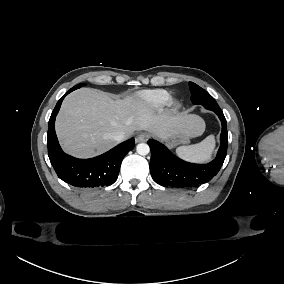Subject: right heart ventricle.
Instances as JSON below:
<instances>
[{
    "label": "right heart ventricle",
    "instance_id": "obj_1",
    "mask_svg": "<svg viewBox=\"0 0 284 284\" xmlns=\"http://www.w3.org/2000/svg\"><path fill=\"white\" fill-rule=\"evenodd\" d=\"M172 98L170 91L165 89L144 90L131 98L133 106L145 111H158L167 106Z\"/></svg>",
    "mask_w": 284,
    "mask_h": 284
}]
</instances>
